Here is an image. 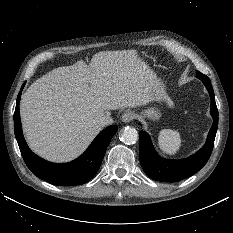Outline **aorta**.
Wrapping results in <instances>:
<instances>
[{
	"mask_svg": "<svg viewBox=\"0 0 233 233\" xmlns=\"http://www.w3.org/2000/svg\"><path fill=\"white\" fill-rule=\"evenodd\" d=\"M120 140L125 144H134L138 140V132L133 127H125L121 134H120Z\"/></svg>",
	"mask_w": 233,
	"mask_h": 233,
	"instance_id": "762f6f07",
	"label": "aorta"
}]
</instances>
